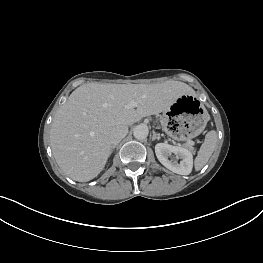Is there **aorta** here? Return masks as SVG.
<instances>
[{
	"label": "aorta",
	"mask_w": 263,
	"mask_h": 263,
	"mask_svg": "<svg viewBox=\"0 0 263 263\" xmlns=\"http://www.w3.org/2000/svg\"><path fill=\"white\" fill-rule=\"evenodd\" d=\"M149 133L148 127L144 124L137 125L133 129V136L138 140H144Z\"/></svg>",
	"instance_id": "obj_1"
}]
</instances>
